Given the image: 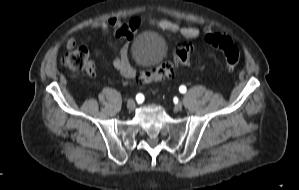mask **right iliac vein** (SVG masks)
Masks as SVG:
<instances>
[{"instance_id":"right-iliac-vein-1","label":"right iliac vein","mask_w":299,"mask_h":190,"mask_svg":"<svg viewBox=\"0 0 299 190\" xmlns=\"http://www.w3.org/2000/svg\"><path fill=\"white\" fill-rule=\"evenodd\" d=\"M135 106H136V104H135L134 100L130 99L127 101V108L129 110H134Z\"/></svg>"}]
</instances>
